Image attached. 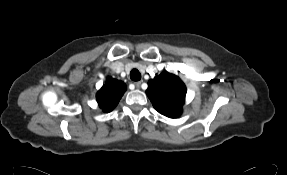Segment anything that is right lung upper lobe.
<instances>
[{
    "instance_id": "1",
    "label": "right lung upper lobe",
    "mask_w": 287,
    "mask_h": 175,
    "mask_svg": "<svg viewBox=\"0 0 287 175\" xmlns=\"http://www.w3.org/2000/svg\"><path fill=\"white\" fill-rule=\"evenodd\" d=\"M126 91V85L119 80L108 77L106 84L97 93V102L104 112L112 111Z\"/></svg>"
}]
</instances>
